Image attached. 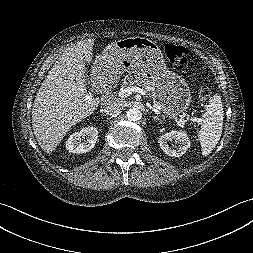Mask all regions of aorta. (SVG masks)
<instances>
[{
	"label": "aorta",
	"instance_id": "762f6f07",
	"mask_svg": "<svg viewBox=\"0 0 253 253\" xmlns=\"http://www.w3.org/2000/svg\"><path fill=\"white\" fill-rule=\"evenodd\" d=\"M126 117L129 121H137L141 118V112L136 108H132L127 111Z\"/></svg>",
	"mask_w": 253,
	"mask_h": 253
}]
</instances>
